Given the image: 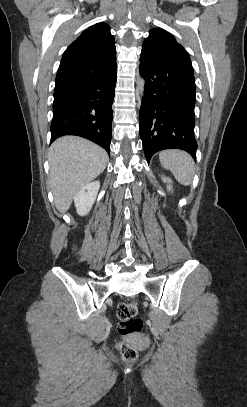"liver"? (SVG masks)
<instances>
[{
  "label": "liver",
  "instance_id": "1",
  "mask_svg": "<svg viewBox=\"0 0 247 407\" xmlns=\"http://www.w3.org/2000/svg\"><path fill=\"white\" fill-rule=\"evenodd\" d=\"M49 185L60 213L71 206L75 195L106 168L108 154L100 146L76 136L57 139L50 147Z\"/></svg>",
  "mask_w": 247,
  "mask_h": 407
}]
</instances>
